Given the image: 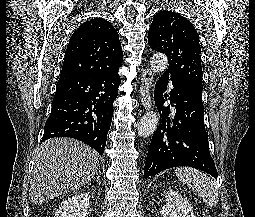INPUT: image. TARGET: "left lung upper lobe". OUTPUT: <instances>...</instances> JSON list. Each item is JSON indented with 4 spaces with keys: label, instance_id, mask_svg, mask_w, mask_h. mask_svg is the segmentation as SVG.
<instances>
[{
    "label": "left lung upper lobe",
    "instance_id": "left-lung-upper-lobe-1",
    "mask_svg": "<svg viewBox=\"0 0 255 217\" xmlns=\"http://www.w3.org/2000/svg\"><path fill=\"white\" fill-rule=\"evenodd\" d=\"M148 43L167 55V73L202 90L199 35L189 20L172 11L159 12L149 29Z\"/></svg>",
    "mask_w": 255,
    "mask_h": 217
}]
</instances>
